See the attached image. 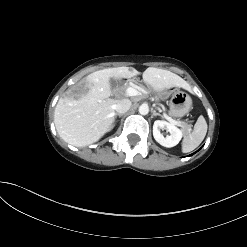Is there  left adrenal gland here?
Listing matches in <instances>:
<instances>
[{
  "mask_svg": "<svg viewBox=\"0 0 247 247\" xmlns=\"http://www.w3.org/2000/svg\"><path fill=\"white\" fill-rule=\"evenodd\" d=\"M153 116H160L163 118V116L159 113H157L155 110H152Z\"/></svg>",
  "mask_w": 247,
  "mask_h": 247,
  "instance_id": "1",
  "label": "left adrenal gland"
}]
</instances>
